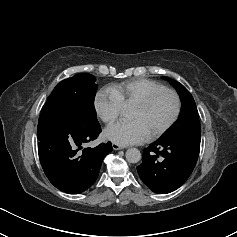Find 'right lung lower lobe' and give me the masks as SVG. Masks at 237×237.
Returning a JSON list of instances; mask_svg holds the SVG:
<instances>
[{"instance_id": "right-lung-lower-lobe-1", "label": "right lung lower lobe", "mask_w": 237, "mask_h": 237, "mask_svg": "<svg viewBox=\"0 0 237 237\" xmlns=\"http://www.w3.org/2000/svg\"><path fill=\"white\" fill-rule=\"evenodd\" d=\"M100 132V125L77 127L60 117L40 114L39 158L47 178L56 188L78 194L95 182L104 157L113 149L111 142L95 148L82 149V146L96 139Z\"/></svg>"}]
</instances>
